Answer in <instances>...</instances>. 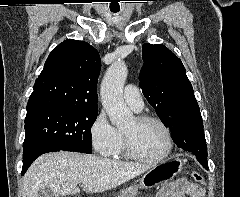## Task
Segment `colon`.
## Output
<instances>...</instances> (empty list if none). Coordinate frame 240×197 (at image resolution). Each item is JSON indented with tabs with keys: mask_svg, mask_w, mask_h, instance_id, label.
<instances>
[{
	"mask_svg": "<svg viewBox=\"0 0 240 197\" xmlns=\"http://www.w3.org/2000/svg\"><path fill=\"white\" fill-rule=\"evenodd\" d=\"M191 176H192V179L196 183H203L204 182V176L199 172L194 171V172H192ZM161 197H165V191L161 192Z\"/></svg>",
	"mask_w": 240,
	"mask_h": 197,
	"instance_id": "obj_1",
	"label": "colon"
}]
</instances>
